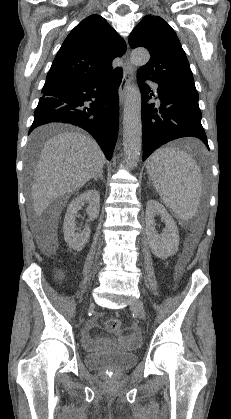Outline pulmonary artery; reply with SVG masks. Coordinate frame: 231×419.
Segmentation results:
<instances>
[{
    "label": "pulmonary artery",
    "mask_w": 231,
    "mask_h": 419,
    "mask_svg": "<svg viewBox=\"0 0 231 419\" xmlns=\"http://www.w3.org/2000/svg\"><path fill=\"white\" fill-rule=\"evenodd\" d=\"M149 84L155 89L157 90L158 85L155 82H149Z\"/></svg>",
    "instance_id": "e3ab8cb5"
}]
</instances>
